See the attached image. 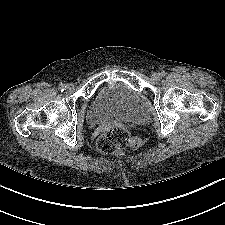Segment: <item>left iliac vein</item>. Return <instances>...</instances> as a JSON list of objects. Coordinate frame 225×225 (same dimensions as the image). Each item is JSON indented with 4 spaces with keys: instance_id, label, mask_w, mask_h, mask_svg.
Returning a JSON list of instances; mask_svg holds the SVG:
<instances>
[{
    "instance_id": "obj_1",
    "label": "left iliac vein",
    "mask_w": 225,
    "mask_h": 225,
    "mask_svg": "<svg viewBox=\"0 0 225 225\" xmlns=\"http://www.w3.org/2000/svg\"><path fill=\"white\" fill-rule=\"evenodd\" d=\"M160 78V75H159V73H152L151 74V79H153V80H157V79H159Z\"/></svg>"
}]
</instances>
